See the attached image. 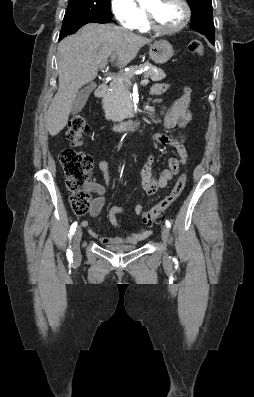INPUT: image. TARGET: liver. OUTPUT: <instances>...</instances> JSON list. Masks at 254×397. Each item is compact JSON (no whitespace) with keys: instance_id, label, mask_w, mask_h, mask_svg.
Segmentation results:
<instances>
[{"instance_id":"1","label":"liver","mask_w":254,"mask_h":397,"mask_svg":"<svg viewBox=\"0 0 254 397\" xmlns=\"http://www.w3.org/2000/svg\"><path fill=\"white\" fill-rule=\"evenodd\" d=\"M152 39L111 24L90 23L58 45L59 87L47 112L46 127L56 136L68 122L79 89L97 76L100 63L111 57L115 67H125Z\"/></svg>"}]
</instances>
